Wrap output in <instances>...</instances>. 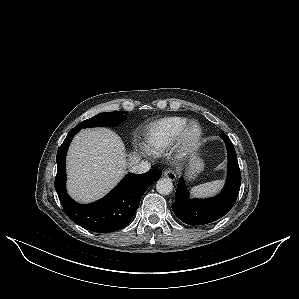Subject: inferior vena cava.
Segmentation results:
<instances>
[{
  "instance_id": "602c4592",
  "label": "inferior vena cava",
  "mask_w": 299,
  "mask_h": 299,
  "mask_svg": "<svg viewBox=\"0 0 299 299\" xmlns=\"http://www.w3.org/2000/svg\"><path fill=\"white\" fill-rule=\"evenodd\" d=\"M151 164L148 161H142L130 168V171L134 174H144L150 170Z\"/></svg>"
}]
</instances>
